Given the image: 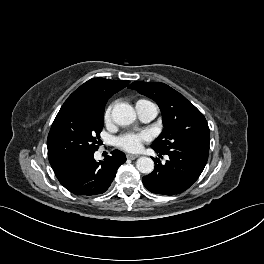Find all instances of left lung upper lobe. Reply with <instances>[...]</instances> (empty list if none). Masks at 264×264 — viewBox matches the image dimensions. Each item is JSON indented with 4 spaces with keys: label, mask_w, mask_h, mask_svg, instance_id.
<instances>
[{
    "label": "left lung upper lobe",
    "mask_w": 264,
    "mask_h": 264,
    "mask_svg": "<svg viewBox=\"0 0 264 264\" xmlns=\"http://www.w3.org/2000/svg\"><path fill=\"white\" fill-rule=\"evenodd\" d=\"M128 88L153 99L161 109L164 130L153 142L154 150L167 152L183 144L209 150L207 121L183 95L160 82H133Z\"/></svg>",
    "instance_id": "obj_1"
}]
</instances>
